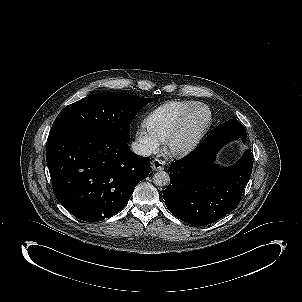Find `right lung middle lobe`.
I'll return each instance as SVG.
<instances>
[{
  "instance_id": "1",
  "label": "right lung middle lobe",
  "mask_w": 302,
  "mask_h": 302,
  "mask_svg": "<svg viewBox=\"0 0 302 302\" xmlns=\"http://www.w3.org/2000/svg\"><path fill=\"white\" fill-rule=\"evenodd\" d=\"M153 100L127 93L91 95L65 107L55 119L49 137L92 129L129 142L131 120L137 111Z\"/></svg>"
}]
</instances>
